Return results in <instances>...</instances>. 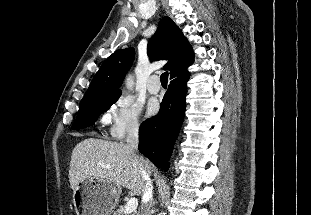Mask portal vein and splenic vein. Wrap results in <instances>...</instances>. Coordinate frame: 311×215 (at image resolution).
<instances>
[{
    "label": "portal vein and splenic vein",
    "instance_id": "18ae733b",
    "mask_svg": "<svg viewBox=\"0 0 311 215\" xmlns=\"http://www.w3.org/2000/svg\"><path fill=\"white\" fill-rule=\"evenodd\" d=\"M138 207V200L136 198H131L125 206V214L134 212Z\"/></svg>",
    "mask_w": 311,
    "mask_h": 215
}]
</instances>
